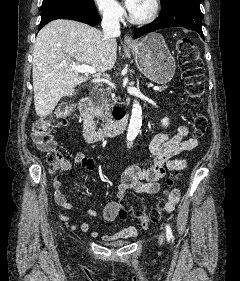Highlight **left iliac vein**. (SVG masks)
Returning <instances> with one entry per match:
<instances>
[{
    "instance_id": "1",
    "label": "left iliac vein",
    "mask_w": 240,
    "mask_h": 281,
    "mask_svg": "<svg viewBox=\"0 0 240 281\" xmlns=\"http://www.w3.org/2000/svg\"><path fill=\"white\" fill-rule=\"evenodd\" d=\"M164 241V235L161 234L160 237H159V244H162Z\"/></svg>"
}]
</instances>
